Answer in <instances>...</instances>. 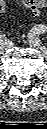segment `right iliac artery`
Masks as SVG:
<instances>
[{
  "label": "right iliac artery",
  "instance_id": "82829eb1",
  "mask_svg": "<svg viewBox=\"0 0 47 129\" xmlns=\"http://www.w3.org/2000/svg\"><path fill=\"white\" fill-rule=\"evenodd\" d=\"M0 42H1V43L6 42V37H5V35H0Z\"/></svg>",
  "mask_w": 47,
  "mask_h": 129
}]
</instances>
